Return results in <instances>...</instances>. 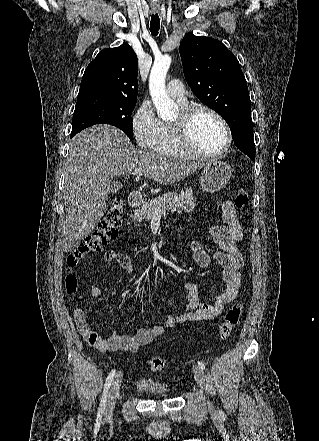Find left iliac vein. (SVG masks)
Masks as SVG:
<instances>
[{"label": "left iliac vein", "instance_id": "left-iliac-vein-1", "mask_svg": "<svg viewBox=\"0 0 319 441\" xmlns=\"http://www.w3.org/2000/svg\"><path fill=\"white\" fill-rule=\"evenodd\" d=\"M193 374H194V377H195L197 384L202 389H205V375H204L203 370L199 366L194 365L193 366ZM208 407L210 410H212V411L214 410V407L210 401H208Z\"/></svg>", "mask_w": 319, "mask_h": 441}]
</instances>
